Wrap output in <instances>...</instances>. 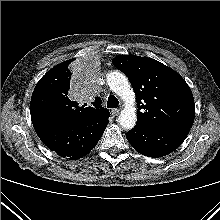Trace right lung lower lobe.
<instances>
[{
	"mask_svg": "<svg viewBox=\"0 0 220 220\" xmlns=\"http://www.w3.org/2000/svg\"><path fill=\"white\" fill-rule=\"evenodd\" d=\"M108 118L107 111L73 124L43 122L33 126L51 151L72 160L87 155L96 146L109 123Z\"/></svg>",
	"mask_w": 220,
	"mask_h": 220,
	"instance_id": "98d812e1",
	"label": "right lung lower lobe"
}]
</instances>
